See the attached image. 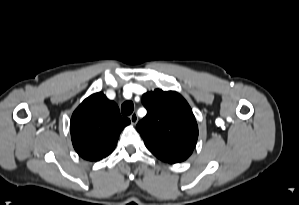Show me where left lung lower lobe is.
<instances>
[{"label":"left lung lower lobe","mask_w":299,"mask_h":205,"mask_svg":"<svg viewBox=\"0 0 299 205\" xmlns=\"http://www.w3.org/2000/svg\"><path fill=\"white\" fill-rule=\"evenodd\" d=\"M151 152L162 161L179 163L186 160L193 152V149L171 147L160 150H151Z\"/></svg>","instance_id":"0a47b994"}]
</instances>
